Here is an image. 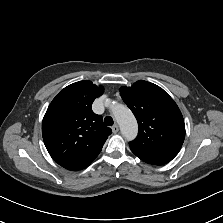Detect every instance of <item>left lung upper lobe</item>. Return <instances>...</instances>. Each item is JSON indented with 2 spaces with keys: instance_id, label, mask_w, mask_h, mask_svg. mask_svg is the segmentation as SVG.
<instances>
[{
  "instance_id": "obj_1",
  "label": "left lung upper lobe",
  "mask_w": 223,
  "mask_h": 223,
  "mask_svg": "<svg viewBox=\"0 0 223 223\" xmlns=\"http://www.w3.org/2000/svg\"><path fill=\"white\" fill-rule=\"evenodd\" d=\"M120 95L139 125L137 138L129 143L131 151L149 164L171 161L185 138L183 116L173 99L159 86L144 80L121 87Z\"/></svg>"
}]
</instances>
